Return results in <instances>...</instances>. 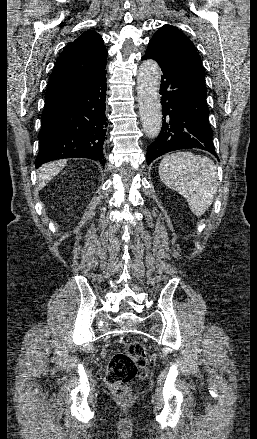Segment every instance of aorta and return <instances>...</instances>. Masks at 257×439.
Here are the masks:
<instances>
[{
    "mask_svg": "<svg viewBox=\"0 0 257 439\" xmlns=\"http://www.w3.org/2000/svg\"><path fill=\"white\" fill-rule=\"evenodd\" d=\"M159 85V65L154 60L144 61L138 71L137 97L142 127L149 138L157 137L162 126Z\"/></svg>",
    "mask_w": 257,
    "mask_h": 439,
    "instance_id": "762f6f07",
    "label": "aorta"
}]
</instances>
